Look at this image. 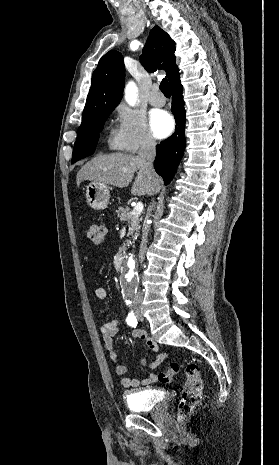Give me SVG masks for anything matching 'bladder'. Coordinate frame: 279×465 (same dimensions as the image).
<instances>
[{
  "instance_id": "bladder-1",
  "label": "bladder",
  "mask_w": 279,
  "mask_h": 465,
  "mask_svg": "<svg viewBox=\"0 0 279 465\" xmlns=\"http://www.w3.org/2000/svg\"><path fill=\"white\" fill-rule=\"evenodd\" d=\"M125 402L132 412H163L168 394L156 389H138L125 393Z\"/></svg>"
}]
</instances>
